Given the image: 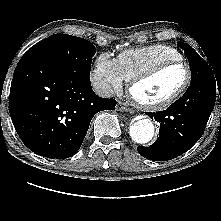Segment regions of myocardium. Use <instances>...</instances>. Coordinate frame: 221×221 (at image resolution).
I'll return each mask as SVG.
<instances>
[{
    "mask_svg": "<svg viewBox=\"0 0 221 221\" xmlns=\"http://www.w3.org/2000/svg\"><path fill=\"white\" fill-rule=\"evenodd\" d=\"M176 65H181L185 67L186 78H185L183 85L174 94H172L170 97H168L165 100H162L160 102H155V103L144 102L136 97L134 90L139 84L153 78L154 76H156L163 70L172 66H176ZM191 82H192V70H191L190 65L187 62L183 60H167V61H164V62H161L152 66L148 70L140 73L139 75L134 77L132 80H130L128 93L132 102L138 108L146 110V111H160V110H164L170 107L175 102H177L186 93V91L191 85Z\"/></svg>",
    "mask_w": 221,
    "mask_h": 221,
    "instance_id": "1",
    "label": "myocardium"
}]
</instances>
